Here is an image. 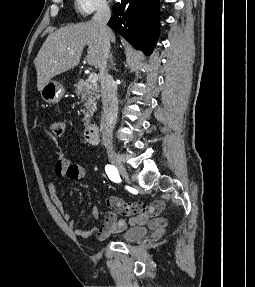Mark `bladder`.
Returning <instances> with one entry per match:
<instances>
[{
	"mask_svg": "<svg viewBox=\"0 0 255 287\" xmlns=\"http://www.w3.org/2000/svg\"><path fill=\"white\" fill-rule=\"evenodd\" d=\"M147 234V229L143 226H129L117 235V239L124 242H132L142 239Z\"/></svg>",
	"mask_w": 255,
	"mask_h": 287,
	"instance_id": "31cf9c89",
	"label": "bladder"
}]
</instances>
